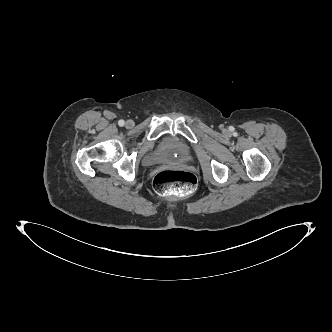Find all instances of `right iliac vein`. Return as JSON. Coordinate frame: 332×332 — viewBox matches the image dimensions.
Here are the masks:
<instances>
[{"label": "right iliac vein", "mask_w": 332, "mask_h": 332, "mask_svg": "<svg viewBox=\"0 0 332 332\" xmlns=\"http://www.w3.org/2000/svg\"><path fill=\"white\" fill-rule=\"evenodd\" d=\"M134 126V122L132 121V120H128L127 122H126V127L127 128H132Z\"/></svg>", "instance_id": "obj_1"}]
</instances>
